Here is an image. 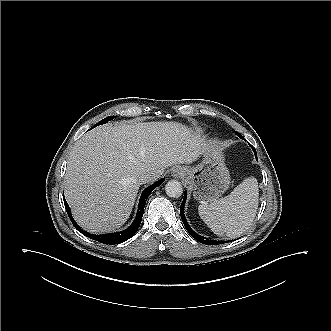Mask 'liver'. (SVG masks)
I'll return each mask as SVG.
<instances>
[{"label": "liver", "mask_w": 331, "mask_h": 331, "mask_svg": "<svg viewBox=\"0 0 331 331\" xmlns=\"http://www.w3.org/2000/svg\"><path fill=\"white\" fill-rule=\"evenodd\" d=\"M201 140L181 123L102 125L78 140L69 156L65 197L76 222L90 233L120 228L129 218L141 175L191 164ZM158 177V178H159Z\"/></svg>", "instance_id": "6515ba94"}]
</instances>
